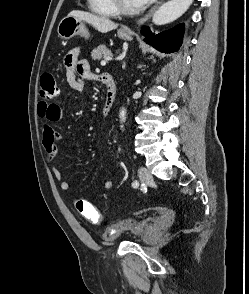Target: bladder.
<instances>
[{
    "label": "bladder",
    "mask_w": 249,
    "mask_h": 294,
    "mask_svg": "<svg viewBox=\"0 0 249 294\" xmlns=\"http://www.w3.org/2000/svg\"><path fill=\"white\" fill-rule=\"evenodd\" d=\"M152 225L153 219L151 217L143 218L121 230H117V225H112L104 231L102 234V240L106 243L115 242L123 234H131L139 240H144L149 236Z\"/></svg>",
    "instance_id": "bladder-1"
}]
</instances>
